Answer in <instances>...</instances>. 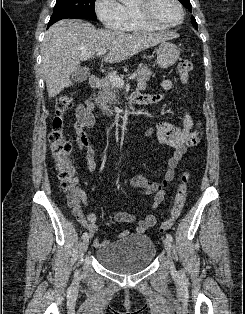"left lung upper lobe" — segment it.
<instances>
[{
  "label": "left lung upper lobe",
  "instance_id": "1",
  "mask_svg": "<svg viewBox=\"0 0 245 314\" xmlns=\"http://www.w3.org/2000/svg\"><path fill=\"white\" fill-rule=\"evenodd\" d=\"M179 1L183 4L184 7L188 8L189 11L191 12L192 6L189 0H179ZM192 24L197 28V22L193 16H192Z\"/></svg>",
  "mask_w": 245,
  "mask_h": 314
}]
</instances>
